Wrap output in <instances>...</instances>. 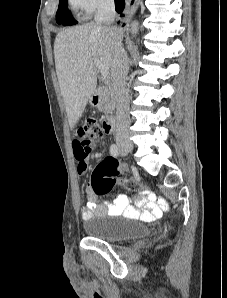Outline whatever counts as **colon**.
Wrapping results in <instances>:
<instances>
[{
    "mask_svg": "<svg viewBox=\"0 0 227 298\" xmlns=\"http://www.w3.org/2000/svg\"><path fill=\"white\" fill-rule=\"evenodd\" d=\"M103 130L95 119L87 120L78 130L75 139L81 142H92L101 137ZM91 152V151H90ZM84 159V158H78ZM120 171L118 161L112 157L104 159L94 169L91 177V189L97 195H106L112 191L115 185L120 184L131 191H145L146 187L131 179H117ZM157 204L163 209L165 203L156 199Z\"/></svg>",
    "mask_w": 227,
    "mask_h": 298,
    "instance_id": "5ec220e1",
    "label": "colon"
}]
</instances>
